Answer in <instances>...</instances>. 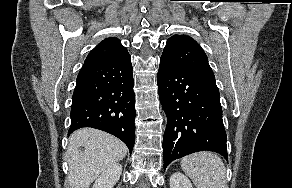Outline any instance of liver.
<instances>
[{
	"instance_id": "1",
	"label": "liver",
	"mask_w": 292,
	"mask_h": 188,
	"mask_svg": "<svg viewBox=\"0 0 292 188\" xmlns=\"http://www.w3.org/2000/svg\"><path fill=\"white\" fill-rule=\"evenodd\" d=\"M81 146L84 151L79 149ZM126 154V145L108 133L93 128L75 131L69 137L66 156L71 188H89L105 169Z\"/></svg>"
}]
</instances>
